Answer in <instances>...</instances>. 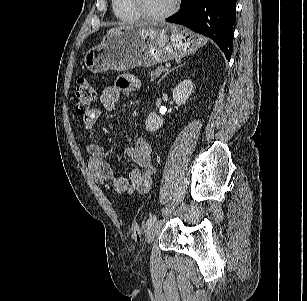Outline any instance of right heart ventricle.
<instances>
[{
    "instance_id": "obj_1",
    "label": "right heart ventricle",
    "mask_w": 307,
    "mask_h": 301,
    "mask_svg": "<svg viewBox=\"0 0 307 301\" xmlns=\"http://www.w3.org/2000/svg\"><path fill=\"white\" fill-rule=\"evenodd\" d=\"M116 17L124 23H133L140 18L132 10L129 0H111Z\"/></svg>"
}]
</instances>
